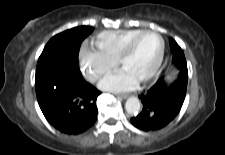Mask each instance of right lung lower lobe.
<instances>
[{
	"mask_svg": "<svg viewBox=\"0 0 225 155\" xmlns=\"http://www.w3.org/2000/svg\"><path fill=\"white\" fill-rule=\"evenodd\" d=\"M39 106L47 121L66 134H79L96 121L101 94L87 83L78 65L64 64L35 84Z\"/></svg>",
	"mask_w": 225,
	"mask_h": 155,
	"instance_id": "right-lung-lower-lobe-1",
	"label": "right lung lower lobe"
}]
</instances>
